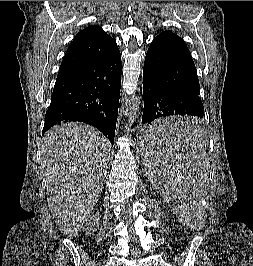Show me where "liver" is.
Returning a JSON list of instances; mask_svg holds the SVG:
<instances>
[{
    "label": "liver",
    "mask_w": 253,
    "mask_h": 266,
    "mask_svg": "<svg viewBox=\"0 0 253 266\" xmlns=\"http://www.w3.org/2000/svg\"><path fill=\"white\" fill-rule=\"evenodd\" d=\"M109 141L78 122L55 126L43 138L48 206L60 231L78 235L96 205L107 173Z\"/></svg>",
    "instance_id": "1"
}]
</instances>
